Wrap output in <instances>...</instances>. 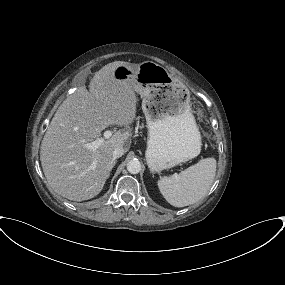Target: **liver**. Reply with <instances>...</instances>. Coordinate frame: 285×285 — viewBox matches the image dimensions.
Masks as SVG:
<instances>
[{"instance_id":"6515ba94","label":"liver","mask_w":285,"mask_h":285,"mask_svg":"<svg viewBox=\"0 0 285 285\" xmlns=\"http://www.w3.org/2000/svg\"><path fill=\"white\" fill-rule=\"evenodd\" d=\"M116 61L102 67L85 86L69 95L58 107L44 135L40 160L51 188L59 195L84 201L97 196L114 166L113 150L130 148V125L137 112L135 84L113 76ZM136 66V65H133ZM123 126L95 151L84 144L100 138L110 125Z\"/></svg>"}]
</instances>
